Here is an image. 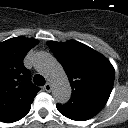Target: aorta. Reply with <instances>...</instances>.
Instances as JSON below:
<instances>
[{"mask_svg":"<svg viewBox=\"0 0 128 128\" xmlns=\"http://www.w3.org/2000/svg\"><path fill=\"white\" fill-rule=\"evenodd\" d=\"M34 66L45 74L52 83V94L57 103H67L71 97V86L67 75L56 59L46 52H38Z\"/></svg>","mask_w":128,"mask_h":128,"instance_id":"obj_1","label":"aorta"}]
</instances>
